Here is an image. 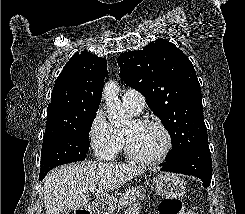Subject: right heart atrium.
<instances>
[{"label": "right heart atrium", "mask_w": 245, "mask_h": 214, "mask_svg": "<svg viewBox=\"0 0 245 214\" xmlns=\"http://www.w3.org/2000/svg\"><path fill=\"white\" fill-rule=\"evenodd\" d=\"M88 136L90 147L100 160L114 159L121 148V137L102 110H98L93 116Z\"/></svg>", "instance_id": "obj_1"}]
</instances>
